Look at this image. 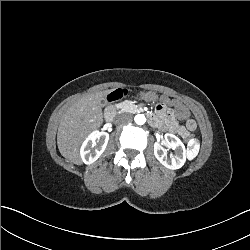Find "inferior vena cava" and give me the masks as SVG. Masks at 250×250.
<instances>
[{
	"label": "inferior vena cava",
	"mask_w": 250,
	"mask_h": 250,
	"mask_svg": "<svg viewBox=\"0 0 250 250\" xmlns=\"http://www.w3.org/2000/svg\"><path fill=\"white\" fill-rule=\"evenodd\" d=\"M133 120V116L131 113H122L117 115L116 117V123L118 124H129Z\"/></svg>",
	"instance_id": "1"
}]
</instances>
